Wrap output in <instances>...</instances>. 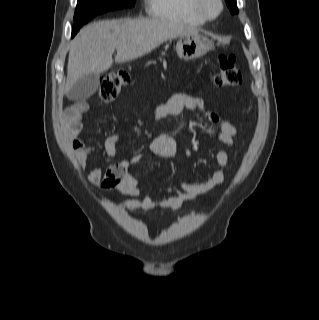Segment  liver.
I'll use <instances>...</instances> for the list:
<instances>
[{"mask_svg": "<svg viewBox=\"0 0 319 320\" xmlns=\"http://www.w3.org/2000/svg\"><path fill=\"white\" fill-rule=\"evenodd\" d=\"M197 33V29L164 19L103 20L87 25L71 43L64 92L84 75L107 71L115 50V61L124 63L150 53L168 39Z\"/></svg>", "mask_w": 319, "mask_h": 320, "instance_id": "1", "label": "liver"}]
</instances>
